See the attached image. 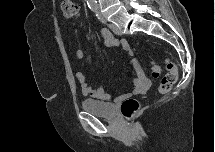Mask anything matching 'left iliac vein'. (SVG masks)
I'll use <instances>...</instances> for the list:
<instances>
[{
  "label": "left iliac vein",
  "mask_w": 215,
  "mask_h": 152,
  "mask_svg": "<svg viewBox=\"0 0 215 152\" xmlns=\"http://www.w3.org/2000/svg\"><path fill=\"white\" fill-rule=\"evenodd\" d=\"M109 28L117 35H121V30L114 24V23H108Z\"/></svg>",
  "instance_id": "4c4485c4"
}]
</instances>
